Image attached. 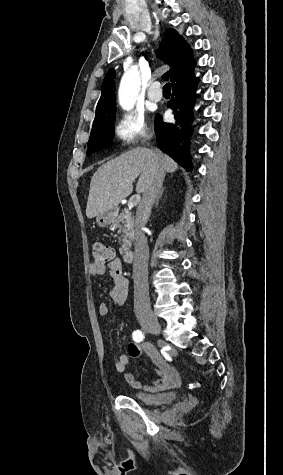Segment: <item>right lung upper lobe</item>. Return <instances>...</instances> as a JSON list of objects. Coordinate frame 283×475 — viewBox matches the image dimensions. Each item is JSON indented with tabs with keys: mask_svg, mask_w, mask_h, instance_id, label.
<instances>
[{
	"mask_svg": "<svg viewBox=\"0 0 283 475\" xmlns=\"http://www.w3.org/2000/svg\"><path fill=\"white\" fill-rule=\"evenodd\" d=\"M157 56L166 64L171 65V69L164 74L165 79H170L172 83L184 74L194 70L196 61L192 58V49L185 40L174 29L166 30L157 52ZM115 72L110 69L106 74L101 88V97L97 104L100 106H115Z\"/></svg>",
	"mask_w": 283,
	"mask_h": 475,
	"instance_id": "cb5924a9",
	"label": "right lung upper lobe"
}]
</instances>
